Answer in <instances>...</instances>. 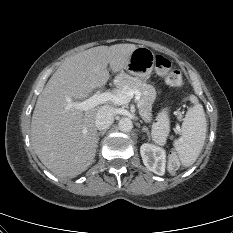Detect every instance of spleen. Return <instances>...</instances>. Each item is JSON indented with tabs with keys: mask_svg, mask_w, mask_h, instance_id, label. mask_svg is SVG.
Returning <instances> with one entry per match:
<instances>
[{
	"mask_svg": "<svg viewBox=\"0 0 233 233\" xmlns=\"http://www.w3.org/2000/svg\"><path fill=\"white\" fill-rule=\"evenodd\" d=\"M191 102L194 103L186 113L182 123V136L174 142L177 156L171 158L169 164L171 169L173 161L180 160L183 166H191L200 155L207 133V121L203 106L198 103L195 96H191Z\"/></svg>",
	"mask_w": 233,
	"mask_h": 233,
	"instance_id": "spleen-1",
	"label": "spleen"
}]
</instances>
